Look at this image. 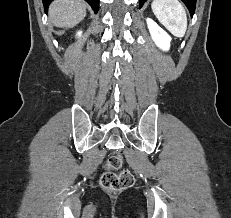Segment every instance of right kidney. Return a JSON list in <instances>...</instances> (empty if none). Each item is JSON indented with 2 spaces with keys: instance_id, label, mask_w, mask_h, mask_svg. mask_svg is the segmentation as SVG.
<instances>
[{
  "instance_id": "ca27d5eb",
  "label": "right kidney",
  "mask_w": 231,
  "mask_h": 218,
  "mask_svg": "<svg viewBox=\"0 0 231 218\" xmlns=\"http://www.w3.org/2000/svg\"><path fill=\"white\" fill-rule=\"evenodd\" d=\"M82 32H78V35L80 36Z\"/></svg>"
}]
</instances>
